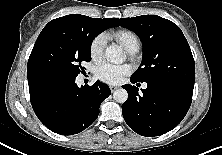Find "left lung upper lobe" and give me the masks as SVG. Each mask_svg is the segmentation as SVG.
<instances>
[{"label":"left lung upper lobe","mask_w":222,"mask_h":155,"mask_svg":"<svg viewBox=\"0 0 222 155\" xmlns=\"http://www.w3.org/2000/svg\"><path fill=\"white\" fill-rule=\"evenodd\" d=\"M117 24L138 35L143 60L131 76L139 82L165 81L194 88L195 62L181 29L157 15L117 19Z\"/></svg>","instance_id":"5c2ea615"}]
</instances>
